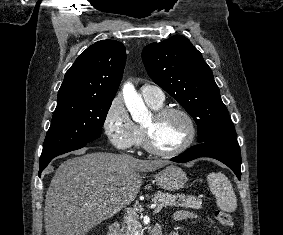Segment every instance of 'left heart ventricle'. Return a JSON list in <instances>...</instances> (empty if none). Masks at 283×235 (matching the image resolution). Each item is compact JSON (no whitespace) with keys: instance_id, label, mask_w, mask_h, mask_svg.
Segmentation results:
<instances>
[{"instance_id":"1","label":"left heart ventricle","mask_w":283,"mask_h":235,"mask_svg":"<svg viewBox=\"0 0 283 235\" xmlns=\"http://www.w3.org/2000/svg\"><path fill=\"white\" fill-rule=\"evenodd\" d=\"M150 134L152 145L159 150L168 151L178 147L187 136V124L184 118L176 113L155 120L151 116L144 125Z\"/></svg>"}]
</instances>
